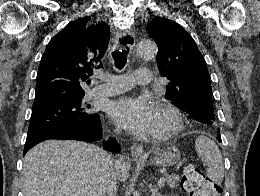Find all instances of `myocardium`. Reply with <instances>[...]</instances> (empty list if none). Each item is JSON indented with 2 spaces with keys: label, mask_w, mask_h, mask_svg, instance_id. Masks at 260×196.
Wrapping results in <instances>:
<instances>
[{
  "label": "myocardium",
  "mask_w": 260,
  "mask_h": 196,
  "mask_svg": "<svg viewBox=\"0 0 260 196\" xmlns=\"http://www.w3.org/2000/svg\"><path fill=\"white\" fill-rule=\"evenodd\" d=\"M154 103L165 114L167 120L161 127L152 131L151 138L154 140L167 139L182 128V113L176 106L163 99H158Z\"/></svg>",
  "instance_id": "1"
}]
</instances>
